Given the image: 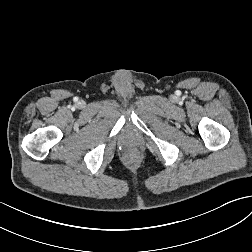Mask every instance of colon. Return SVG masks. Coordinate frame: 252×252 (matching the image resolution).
Returning a JSON list of instances; mask_svg holds the SVG:
<instances>
[{"label":"colon","mask_w":252,"mask_h":252,"mask_svg":"<svg viewBox=\"0 0 252 252\" xmlns=\"http://www.w3.org/2000/svg\"><path fill=\"white\" fill-rule=\"evenodd\" d=\"M127 159L128 160H133L134 159V155H132V154L127 155Z\"/></svg>","instance_id":"1"}]
</instances>
